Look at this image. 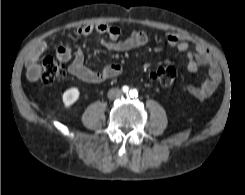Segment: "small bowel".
<instances>
[{"instance_id": "obj_1", "label": "small bowel", "mask_w": 245, "mask_h": 195, "mask_svg": "<svg viewBox=\"0 0 245 195\" xmlns=\"http://www.w3.org/2000/svg\"><path fill=\"white\" fill-rule=\"evenodd\" d=\"M74 33L81 36L105 35L102 45L108 50L119 52L144 46L148 42V36L144 31H134L129 36L122 37L120 28L109 24L81 26L76 28ZM165 40L169 46L178 49L184 55L189 71L196 72L202 65L208 68V76L201 81L199 86L188 87L187 92L197 99L209 97L222 78L221 68L212 52L204 44L193 42L180 33H168ZM46 48L47 42L42 40L27 56V77L31 81L37 80L40 76L39 59ZM57 57L63 62L70 61L69 73L88 83L103 82L118 76L122 71L121 66L116 63L105 65L98 70L88 68L84 63V53L81 48L73 50L69 46H61L57 50Z\"/></svg>"}]
</instances>
